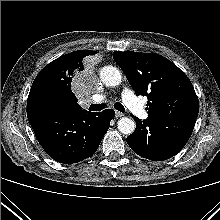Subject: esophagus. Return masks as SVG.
Here are the masks:
<instances>
[{"instance_id": "obj_1", "label": "esophagus", "mask_w": 220, "mask_h": 220, "mask_svg": "<svg viewBox=\"0 0 220 220\" xmlns=\"http://www.w3.org/2000/svg\"><path fill=\"white\" fill-rule=\"evenodd\" d=\"M124 114L122 112L119 111H115V116L118 117H122Z\"/></svg>"}]
</instances>
